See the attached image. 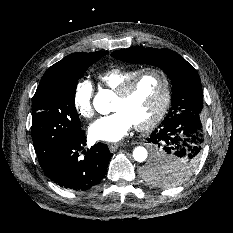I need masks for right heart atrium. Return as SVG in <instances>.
Listing matches in <instances>:
<instances>
[{
	"mask_svg": "<svg viewBox=\"0 0 233 233\" xmlns=\"http://www.w3.org/2000/svg\"><path fill=\"white\" fill-rule=\"evenodd\" d=\"M94 87L86 79L79 80L73 91V106L83 118L89 119L94 115L93 108Z\"/></svg>",
	"mask_w": 233,
	"mask_h": 233,
	"instance_id": "right-heart-atrium-1",
	"label": "right heart atrium"
}]
</instances>
